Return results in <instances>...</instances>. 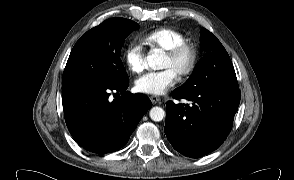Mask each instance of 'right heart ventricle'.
Segmentation results:
<instances>
[{"label": "right heart ventricle", "instance_id": "e07e8e85", "mask_svg": "<svg viewBox=\"0 0 294 180\" xmlns=\"http://www.w3.org/2000/svg\"><path fill=\"white\" fill-rule=\"evenodd\" d=\"M140 41L148 47H156L167 51L185 42V36L172 28H159L140 36Z\"/></svg>", "mask_w": 294, "mask_h": 180}]
</instances>
